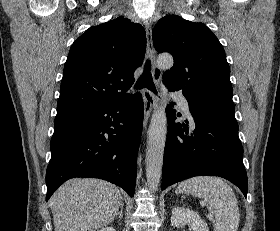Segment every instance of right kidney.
<instances>
[{
	"mask_svg": "<svg viewBox=\"0 0 280 231\" xmlns=\"http://www.w3.org/2000/svg\"><path fill=\"white\" fill-rule=\"evenodd\" d=\"M97 231H116L114 227H101V229H97Z\"/></svg>",
	"mask_w": 280,
	"mask_h": 231,
	"instance_id": "ca27d5eb",
	"label": "right kidney"
}]
</instances>
